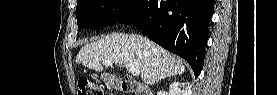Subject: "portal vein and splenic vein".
Segmentation results:
<instances>
[{"instance_id":"18ae733b","label":"portal vein and splenic vein","mask_w":277,"mask_h":95,"mask_svg":"<svg viewBox=\"0 0 277 95\" xmlns=\"http://www.w3.org/2000/svg\"><path fill=\"white\" fill-rule=\"evenodd\" d=\"M104 64L106 66H111L112 62L108 60ZM125 67L131 73L132 76H139L140 75V71L133 64H125Z\"/></svg>"}]
</instances>
